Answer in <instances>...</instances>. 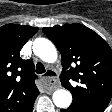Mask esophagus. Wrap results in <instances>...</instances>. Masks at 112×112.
Listing matches in <instances>:
<instances>
[{"mask_svg":"<svg viewBox=\"0 0 112 112\" xmlns=\"http://www.w3.org/2000/svg\"><path fill=\"white\" fill-rule=\"evenodd\" d=\"M55 73L51 70H48L47 73L42 77L44 86L49 91H54L58 88L59 84L56 79Z\"/></svg>","mask_w":112,"mask_h":112,"instance_id":"1","label":"esophagus"}]
</instances>
